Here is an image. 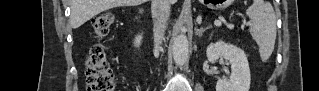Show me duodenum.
Returning a JSON list of instances; mask_svg holds the SVG:
<instances>
[{
  "mask_svg": "<svg viewBox=\"0 0 319 91\" xmlns=\"http://www.w3.org/2000/svg\"><path fill=\"white\" fill-rule=\"evenodd\" d=\"M136 21H137L139 28H140L141 23L143 21V14L141 12H139V14L137 15Z\"/></svg>",
  "mask_w": 319,
  "mask_h": 91,
  "instance_id": "obj_1",
  "label": "duodenum"
}]
</instances>
